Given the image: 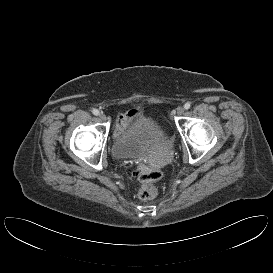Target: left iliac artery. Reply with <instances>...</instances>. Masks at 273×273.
Here are the masks:
<instances>
[{"mask_svg":"<svg viewBox=\"0 0 273 273\" xmlns=\"http://www.w3.org/2000/svg\"><path fill=\"white\" fill-rule=\"evenodd\" d=\"M190 107H191L190 103H188V102L185 103L184 108H185L186 110H188Z\"/></svg>","mask_w":273,"mask_h":273,"instance_id":"left-iliac-artery-1","label":"left iliac artery"}]
</instances>
